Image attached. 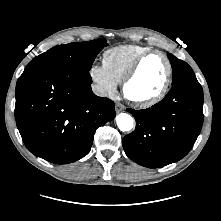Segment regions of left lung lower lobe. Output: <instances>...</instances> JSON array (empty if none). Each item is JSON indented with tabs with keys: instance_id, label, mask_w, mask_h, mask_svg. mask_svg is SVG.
<instances>
[{
	"instance_id": "left-lung-lower-lobe-1",
	"label": "left lung lower lobe",
	"mask_w": 221,
	"mask_h": 221,
	"mask_svg": "<svg viewBox=\"0 0 221 221\" xmlns=\"http://www.w3.org/2000/svg\"><path fill=\"white\" fill-rule=\"evenodd\" d=\"M135 130L123 138L126 155L139 165L158 168L179 161L193 147L203 124V90L196 78L172 85L159 103L128 109Z\"/></svg>"
}]
</instances>
